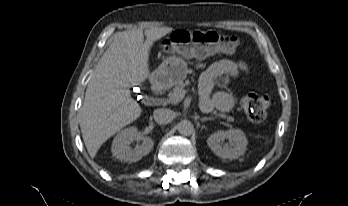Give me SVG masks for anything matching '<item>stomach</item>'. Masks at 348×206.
I'll return each mask as SVG.
<instances>
[{
	"label": "stomach",
	"mask_w": 348,
	"mask_h": 206,
	"mask_svg": "<svg viewBox=\"0 0 348 206\" xmlns=\"http://www.w3.org/2000/svg\"><path fill=\"white\" fill-rule=\"evenodd\" d=\"M205 40L194 38L190 34L186 41L182 42V55L175 54L166 57L158 68L152 73L157 82L164 86H171L182 82L187 76L186 58L196 57L202 59L204 53L201 51L205 47Z\"/></svg>",
	"instance_id": "obj_1"
}]
</instances>
